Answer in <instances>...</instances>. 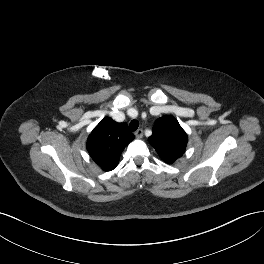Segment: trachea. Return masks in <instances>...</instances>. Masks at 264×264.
I'll use <instances>...</instances> for the list:
<instances>
[{"instance_id":"trachea-1","label":"trachea","mask_w":264,"mask_h":264,"mask_svg":"<svg viewBox=\"0 0 264 264\" xmlns=\"http://www.w3.org/2000/svg\"><path fill=\"white\" fill-rule=\"evenodd\" d=\"M138 127H139V123H138L137 120H132V121L130 122V124H129V129H130L131 131H136V130L138 129Z\"/></svg>"}]
</instances>
